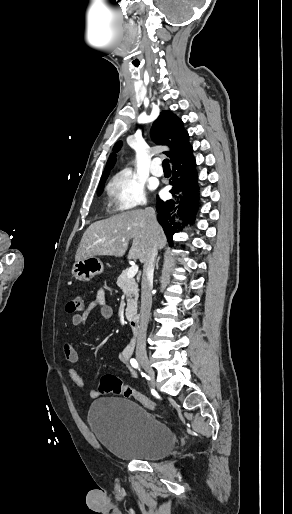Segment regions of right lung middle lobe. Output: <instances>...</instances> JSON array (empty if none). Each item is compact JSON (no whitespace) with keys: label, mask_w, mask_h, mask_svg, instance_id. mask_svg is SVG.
Returning a JSON list of instances; mask_svg holds the SVG:
<instances>
[{"label":"right lung middle lobe","mask_w":292,"mask_h":514,"mask_svg":"<svg viewBox=\"0 0 292 514\" xmlns=\"http://www.w3.org/2000/svg\"><path fill=\"white\" fill-rule=\"evenodd\" d=\"M105 181L106 180L100 181V184H99V187H98V190H97V195L98 196H100L102 194V192H103Z\"/></svg>","instance_id":"dd1d6c3e"}]
</instances>
